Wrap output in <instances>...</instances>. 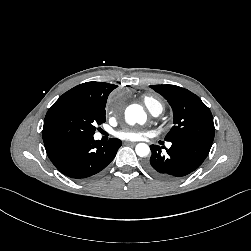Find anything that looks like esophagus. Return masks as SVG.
<instances>
[{"label":"esophagus","mask_w":251,"mask_h":251,"mask_svg":"<svg viewBox=\"0 0 251 251\" xmlns=\"http://www.w3.org/2000/svg\"><path fill=\"white\" fill-rule=\"evenodd\" d=\"M125 144H127V145H135L136 142H133V141H126Z\"/></svg>","instance_id":"esophagus-1"}]
</instances>
